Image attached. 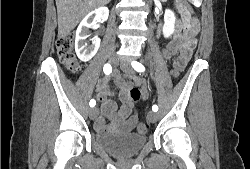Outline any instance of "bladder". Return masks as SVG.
Returning a JSON list of instances; mask_svg holds the SVG:
<instances>
[{
  "instance_id": "31cf9c89",
  "label": "bladder",
  "mask_w": 250,
  "mask_h": 169,
  "mask_svg": "<svg viewBox=\"0 0 250 169\" xmlns=\"http://www.w3.org/2000/svg\"><path fill=\"white\" fill-rule=\"evenodd\" d=\"M93 143L104 151L113 154L117 158H126L137 155L139 151L146 145V134L134 133H101L96 131L93 133Z\"/></svg>"
}]
</instances>
